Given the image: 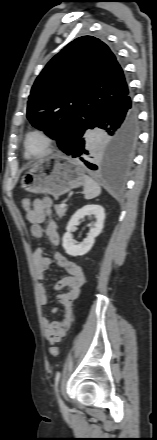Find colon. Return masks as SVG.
Here are the masks:
<instances>
[{"label":"colon","mask_w":157,"mask_h":440,"mask_svg":"<svg viewBox=\"0 0 157 440\" xmlns=\"http://www.w3.org/2000/svg\"><path fill=\"white\" fill-rule=\"evenodd\" d=\"M21 204H22V208L26 212H29L31 210L30 200L28 198H23ZM49 352L52 356H57L59 354V348L57 346H52L49 349Z\"/></svg>","instance_id":"1"}]
</instances>
